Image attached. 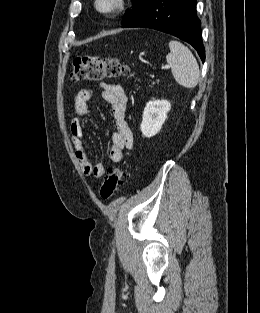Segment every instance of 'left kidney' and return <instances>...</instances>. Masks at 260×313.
<instances>
[{"instance_id":"obj_1","label":"left kidney","mask_w":260,"mask_h":313,"mask_svg":"<svg viewBox=\"0 0 260 313\" xmlns=\"http://www.w3.org/2000/svg\"><path fill=\"white\" fill-rule=\"evenodd\" d=\"M170 109L171 104L167 100L149 101L143 111L140 126L142 134L147 138L156 135L167 119V113Z\"/></svg>"}]
</instances>
